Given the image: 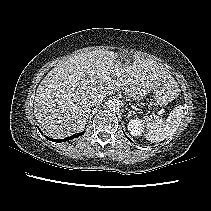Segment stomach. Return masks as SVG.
<instances>
[{"label":"stomach","mask_w":211,"mask_h":211,"mask_svg":"<svg viewBox=\"0 0 211 211\" xmlns=\"http://www.w3.org/2000/svg\"><path fill=\"white\" fill-rule=\"evenodd\" d=\"M119 59L122 60L124 63H126L131 60V57L126 56L125 54H120ZM151 91H154V99L156 102L155 103L156 106H163L176 98L178 93V86L175 82H167L157 86ZM151 91L145 88H136V89H131L128 95L129 97L135 100H140L144 98Z\"/></svg>","instance_id":"obj_1"}]
</instances>
